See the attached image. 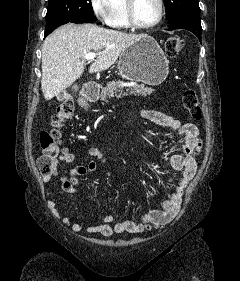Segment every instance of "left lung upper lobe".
<instances>
[{
  "mask_svg": "<svg viewBox=\"0 0 240 281\" xmlns=\"http://www.w3.org/2000/svg\"><path fill=\"white\" fill-rule=\"evenodd\" d=\"M170 24L182 19L200 20L198 0H163Z\"/></svg>",
  "mask_w": 240,
  "mask_h": 281,
  "instance_id": "1",
  "label": "left lung upper lobe"
}]
</instances>
